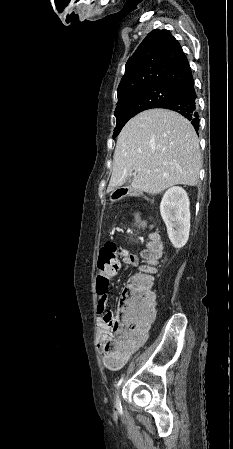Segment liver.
Returning a JSON list of instances; mask_svg holds the SVG:
<instances>
[{"label":"liver","instance_id":"obj_1","mask_svg":"<svg viewBox=\"0 0 233 449\" xmlns=\"http://www.w3.org/2000/svg\"><path fill=\"white\" fill-rule=\"evenodd\" d=\"M107 188L124 185L132 171V188L158 194L174 185L195 186L201 168L199 140L192 124L166 109H150L130 119L120 132Z\"/></svg>","mask_w":233,"mask_h":449}]
</instances>
